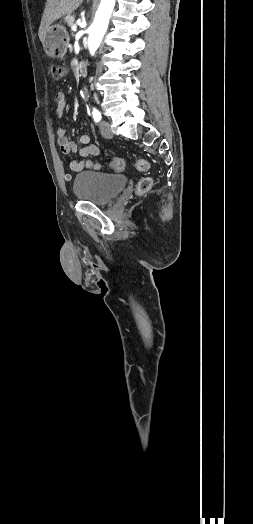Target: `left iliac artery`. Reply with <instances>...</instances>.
I'll use <instances>...</instances> for the list:
<instances>
[{"instance_id":"44dca946","label":"left iliac artery","mask_w":253,"mask_h":524,"mask_svg":"<svg viewBox=\"0 0 253 524\" xmlns=\"http://www.w3.org/2000/svg\"><path fill=\"white\" fill-rule=\"evenodd\" d=\"M92 115H93L94 121L96 123H99L101 120V114L96 108H93Z\"/></svg>"}]
</instances>
